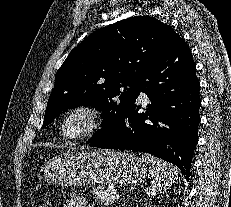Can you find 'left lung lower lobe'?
Listing matches in <instances>:
<instances>
[{
  "label": "left lung lower lobe",
  "mask_w": 231,
  "mask_h": 207,
  "mask_svg": "<svg viewBox=\"0 0 231 207\" xmlns=\"http://www.w3.org/2000/svg\"><path fill=\"white\" fill-rule=\"evenodd\" d=\"M200 82L191 51L179 37L145 68L138 80L151 101L145 113L135 102L126 110L119 128L91 147L150 153L175 164L186 180L198 142Z\"/></svg>",
  "instance_id": "left-lung-lower-lobe-1"
}]
</instances>
